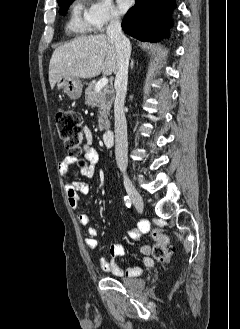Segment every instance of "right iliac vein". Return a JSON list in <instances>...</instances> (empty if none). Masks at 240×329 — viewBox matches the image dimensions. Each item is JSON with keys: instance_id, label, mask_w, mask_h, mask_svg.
Returning a JSON list of instances; mask_svg holds the SVG:
<instances>
[{"instance_id": "63e3f726", "label": "right iliac vein", "mask_w": 240, "mask_h": 329, "mask_svg": "<svg viewBox=\"0 0 240 329\" xmlns=\"http://www.w3.org/2000/svg\"><path fill=\"white\" fill-rule=\"evenodd\" d=\"M124 186L129 197L131 198L132 203L134 204L136 209L141 212L144 207V202L140 193L136 190V188L133 186L129 179L124 180Z\"/></svg>"}]
</instances>
